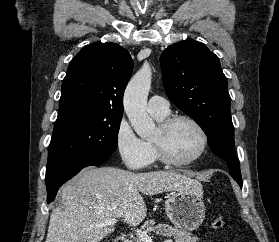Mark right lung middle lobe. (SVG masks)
<instances>
[{"mask_svg":"<svg viewBox=\"0 0 279 242\" xmlns=\"http://www.w3.org/2000/svg\"><path fill=\"white\" fill-rule=\"evenodd\" d=\"M122 116L75 110L58 114L48 154L46 174L88 154L111 155L117 148Z\"/></svg>","mask_w":279,"mask_h":242,"instance_id":"1","label":"right lung middle lobe"}]
</instances>
